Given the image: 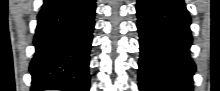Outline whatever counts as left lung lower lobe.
Instances as JSON below:
<instances>
[{
    "instance_id": "left-lung-lower-lobe-1",
    "label": "left lung lower lobe",
    "mask_w": 220,
    "mask_h": 91,
    "mask_svg": "<svg viewBox=\"0 0 220 91\" xmlns=\"http://www.w3.org/2000/svg\"><path fill=\"white\" fill-rule=\"evenodd\" d=\"M139 90L192 91L191 18L183 0H137Z\"/></svg>"
}]
</instances>
